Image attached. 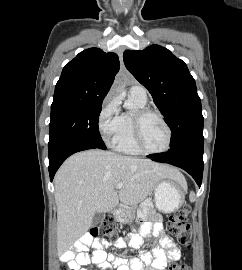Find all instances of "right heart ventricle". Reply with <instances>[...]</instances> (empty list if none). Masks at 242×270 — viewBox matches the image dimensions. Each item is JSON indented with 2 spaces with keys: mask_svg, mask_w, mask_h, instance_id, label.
Wrapping results in <instances>:
<instances>
[{
  "mask_svg": "<svg viewBox=\"0 0 242 270\" xmlns=\"http://www.w3.org/2000/svg\"><path fill=\"white\" fill-rule=\"evenodd\" d=\"M131 101L134 103L137 110L145 108L146 102H140L133 98ZM133 113L124 112L120 115V126L113 139L114 148L122 153L137 155L141 154L136 147L133 136Z\"/></svg>",
  "mask_w": 242,
  "mask_h": 270,
  "instance_id": "obj_1",
  "label": "right heart ventricle"
}]
</instances>
